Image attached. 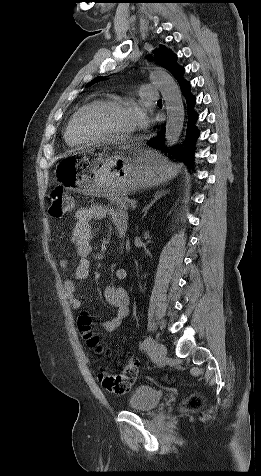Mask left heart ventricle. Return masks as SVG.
Instances as JSON below:
<instances>
[{
	"mask_svg": "<svg viewBox=\"0 0 261 476\" xmlns=\"http://www.w3.org/2000/svg\"><path fill=\"white\" fill-rule=\"evenodd\" d=\"M134 107H97L83 118L88 133L123 135L134 129Z\"/></svg>",
	"mask_w": 261,
	"mask_h": 476,
	"instance_id": "left-heart-ventricle-1",
	"label": "left heart ventricle"
}]
</instances>
